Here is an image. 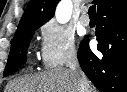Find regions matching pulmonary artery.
Returning <instances> with one entry per match:
<instances>
[{
  "label": "pulmonary artery",
  "mask_w": 127,
  "mask_h": 92,
  "mask_svg": "<svg viewBox=\"0 0 127 92\" xmlns=\"http://www.w3.org/2000/svg\"><path fill=\"white\" fill-rule=\"evenodd\" d=\"M80 23L83 25V26H88L89 23H90V18L87 14V9H83L82 12H81V16H80Z\"/></svg>",
  "instance_id": "obj_1"
}]
</instances>
